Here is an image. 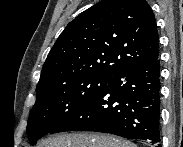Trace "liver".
Returning <instances> with one entry per match:
<instances>
[{
    "label": "liver",
    "mask_w": 183,
    "mask_h": 147,
    "mask_svg": "<svg viewBox=\"0 0 183 147\" xmlns=\"http://www.w3.org/2000/svg\"><path fill=\"white\" fill-rule=\"evenodd\" d=\"M38 147H136V145L110 135L72 133L44 140Z\"/></svg>",
    "instance_id": "liver-1"
}]
</instances>
